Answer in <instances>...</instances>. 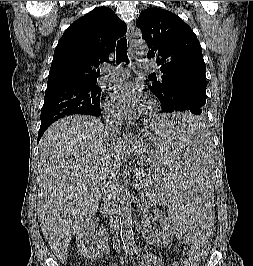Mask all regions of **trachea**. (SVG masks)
<instances>
[{
  "label": "trachea",
  "mask_w": 253,
  "mask_h": 266,
  "mask_svg": "<svg viewBox=\"0 0 253 266\" xmlns=\"http://www.w3.org/2000/svg\"><path fill=\"white\" fill-rule=\"evenodd\" d=\"M122 61L129 62L127 56V39L124 37L118 40L116 47V63L120 64Z\"/></svg>",
  "instance_id": "3493384b"
}]
</instances>
